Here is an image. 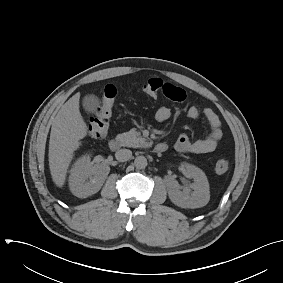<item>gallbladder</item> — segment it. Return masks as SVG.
Segmentation results:
<instances>
[{
    "label": "gallbladder",
    "instance_id": "obj_1",
    "mask_svg": "<svg viewBox=\"0 0 283 283\" xmlns=\"http://www.w3.org/2000/svg\"><path fill=\"white\" fill-rule=\"evenodd\" d=\"M82 104L84 110L88 113L96 112V109L100 106L99 99L93 94L86 95L83 98Z\"/></svg>",
    "mask_w": 283,
    "mask_h": 283
}]
</instances>
